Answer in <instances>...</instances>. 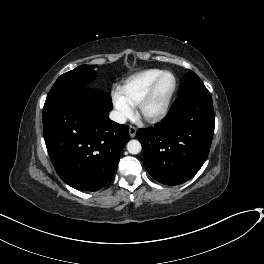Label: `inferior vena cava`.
<instances>
[{
  "instance_id": "602c4592",
  "label": "inferior vena cava",
  "mask_w": 264,
  "mask_h": 264,
  "mask_svg": "<svg viewBox=\"0 0 264 264\" xmlns=\"http://www.w3.org/2000/svg\"><path fill=\"white\" fill-rule=\"evenodd\" d=\"M109 117L111 120L120 123V124H124L126 123V117L124 114H122L119 111L113 110L110 112Z\"/></svg>"
}]
</instances>
